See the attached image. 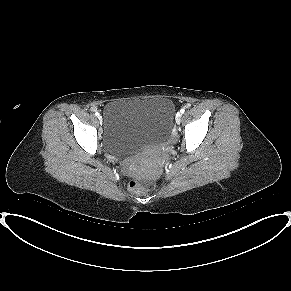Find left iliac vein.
<instances>
[{"label": "left iliac vein", "instance_id": "1", "mask_svg": "<svg viewBox=\"0 0 291 291\" xmlns=\"http://www.w3.org/2000/svg\"><path fill=\"white\" fill-rule=\"evenodd\" d=\"M181 118H182V114L179 112L176 114V123L180 124L181 123Z\"/></svg>", "mask_w": 291, "mask_h": 291}]
</instances>
